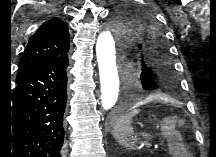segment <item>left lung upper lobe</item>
Instances as JSON below:
<instances>
[{
    "mask_svg": "<svg viewBox=\"0 0 216 157\" xmlns=\"http://www.w3.org/2000/svg\"><path fill=\"white\" fill-rule=\"evenodd\" d=\"M151 10L127 4L117 7L109 28L119 38L126 72L144 94L177 99L179 78L166 44V35Z\"/></svg>",
    "mask_w": 216,
    "mask_h": 157,
    "instance_id": "5c2ea615",
    "label": "left lung upper lobe"
}]
</instances>
